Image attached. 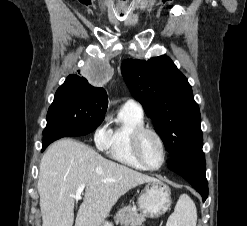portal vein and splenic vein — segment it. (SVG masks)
<instances>
[{
  "mask_svg": "<svg viewBox=\"0 0 247 226\" xmlns=\"http://www.w3.org/2000/svg\"><path fill=\"white\" fill-rule=\"evenodd\" d=\"M84 188H85V184L84 183L79 186V188L76 191V195H74L75 199H80L81 198V193L84 190Z\"/></svg>",
  "mask_w": 247,
  "mask_h": 226,
  "instance_id": "obj_1",
  "label": "portal vein and splenic vein"
}]
</instances>
